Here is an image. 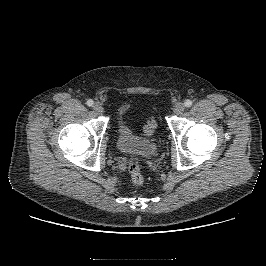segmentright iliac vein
<instances>
[{"instance_id": "obj_1", "label": "right iliac vein", "mask_w": 266, "mask_h": 266, "mask_svg": "<svg viewBox=\"0 0 266 266\" xmlns=\"http://www.w3.org/2000/svg\"><path fill=\"white\" fill-rule=\"evenodd\" d=\"M93 109H94V111L95 112H97V113H102L103 112V106L100 104V103H95L94 105H93Z\"/></svg>"}]
</instances>
